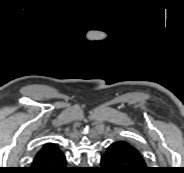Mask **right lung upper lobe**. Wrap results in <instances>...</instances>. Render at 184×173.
I'll return each instance as SVG.
<instances>
[{
	"mask_svg": "<svg viewBox=\"0 0 184 173\" xmlns=\"http://www.w3.org/2000/svg\"><path fill=\"white\" fill-rule=\"evenodd\" d=\"M54 147H55L54 144H52V143H47V144H45V145L41 148V150H40L39 152H43V151L52 149V148H54Z\"/></svg>",
	"mask_w": 184,
	"mask_h": 173,
	"instance_id": "1",
	"label": "right lung upper lobe"
}]
</instances>
